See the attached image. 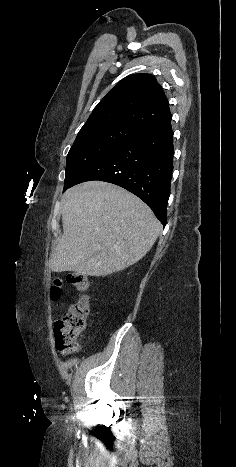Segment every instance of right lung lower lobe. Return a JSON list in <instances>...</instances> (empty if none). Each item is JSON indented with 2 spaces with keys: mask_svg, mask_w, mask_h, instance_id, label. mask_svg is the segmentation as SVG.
<instances>
[{
  "mask_svg": "<svg viewBox=\"0 0 236 467\" xmlns=\"http://www.w3.org/2000/svg\"><path fill=\"white\" fill-rule=\"evenodd\" d=\"M173 154L170 116L120 144L91 165L63 191L90 180L116 184L141 198L165 226Z\"/></svg>",
  "mask_w": 236,
  "mask_h": 467,
  "instance_id": "obj_1",
  "label": "right lung lower lobe"
}]
</instances>
